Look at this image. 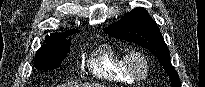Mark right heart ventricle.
<instances>
[{"mask_svg":"<svg viewBox=\"0 0 205 87\" xmlns=\"http://www.w3.org/2000/svg\"><path fill=\"white\" fill-rule=\"evenodd\" d=\"M124 53L110 44L97 46L88 59L92 74L104 81L120 84H132L135 79L127 72Z\"/></svg>","mask_w":205,"mask_h":87,"instance_id":"right-heart-ventricle-1","label":"right heart ventricle"}]
</instances>
